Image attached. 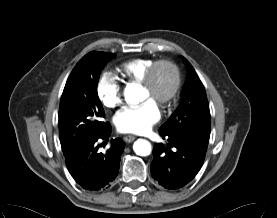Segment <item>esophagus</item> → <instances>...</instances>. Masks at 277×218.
<instances>
[{"label": "esophagus", "instance_id": "esophagus-1", "mask_svg": "<svg viewBox=\"0 0 277 218\" xmlns=\"http://www.w3.org/2000/svg\"><path fill=\"white\" fill-rule=\"evenodd\" d=\"M135 138H136V137L133 136V135H127V136H125V137L123 138V140H124L126 143H130V142L134 141Z\"/></svg>", "mask_w": 277, "mask_h": 218}]
</instances>
